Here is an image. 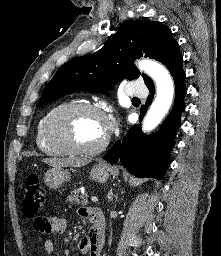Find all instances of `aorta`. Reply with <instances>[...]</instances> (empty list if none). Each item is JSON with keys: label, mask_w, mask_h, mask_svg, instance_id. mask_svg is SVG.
<instances>
[{"label": "aorta", "mask_w": 221, "mask_h": 256, "mask_svg": "<svg viewBox=\"0 0 221 256\" xmlns=\"http://www.w3.org/2000/svg\"><path fill=\"white\" fill-rule=\"evenodd\" d=\"M138 67L156 84V97L142 123V130L150 132L159 125L169 111L174 97V84L167 69L157 62L144 60L138 63Z\"/></svg>", "instance_id": "aorta-1"}]
</instances>
